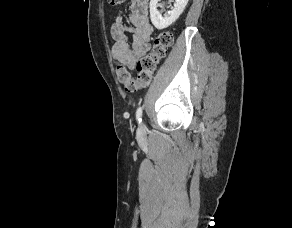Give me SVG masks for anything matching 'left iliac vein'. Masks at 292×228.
<instances>
[{"label":"left iliac vein","instance_id":"1","mask_svg":"<svg viewBox=\"0 0 292 228\" xmlns=\"http://www.w3.org/2000/svg\"><path fill=\"white\" fill-rule=\"evenodd\" d=\"M138 135L142 136L145 133V126L143 123H141L138 127V131H137Z\"/></svg>","mask_w":292,"mask_h":228}]
</instances>
